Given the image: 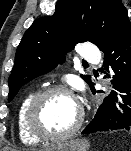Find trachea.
<instances>
[{
    "label": "trachea",
    "mask_w": 131,
    "mask_h": 151,
    "mask_svg": "<svg viewBox=\"0 0 131 151\" xmlns=\"http://www.w3.org/2000/svg\"><path fill=\"white\" fill-rule=\"evenodd\" d=\"M83 65H88V63L87 62H83Z\"/></svg>",
    "instance_id": "obj_1"
}]
</instances>
